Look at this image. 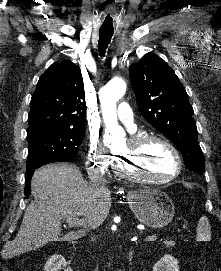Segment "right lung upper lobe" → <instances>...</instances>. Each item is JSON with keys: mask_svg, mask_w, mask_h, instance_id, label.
<instances>
[{"mask_svg": "<svg viewBox=\"0 0 221 271\" xmlns=\"http://www.w3.org/2000/svg\"><path fill=\"white\" fill-rule=\"evenodd\" d=\"M85 93L79 66L70 61L52 64L40 77L31 99V130L55 127L85 130Z\"/></svg>", "mask_w": 221, "mask_h": 271, "instance_id": "obj_1", "label": "right lung upper lobe"}]
</instances>
